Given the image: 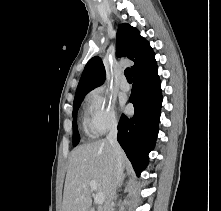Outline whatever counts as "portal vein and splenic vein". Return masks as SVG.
Here are the masks:
<instances>
[{
	"instance_id": "obj_1",
	"label": "portal vein and splenic vein",
	"mask_w": 221,
	"mask_h": 211,
	"mask_svg": "<svg viewBox=\"0 0 221 211\" xmlns=\"http://www.w3.org/2000/svg\"><path fill=\"white\" fill-rule=\"evenodd\" d=\"M91 190H96L97 184L94 180L90 181ZM94 201L96 204H103L105 201V196L103 193H97L94 197Z\"/></svg>"
}]
</instances>
